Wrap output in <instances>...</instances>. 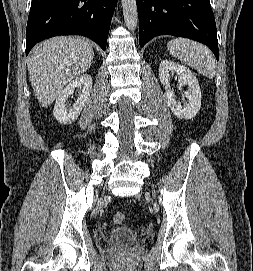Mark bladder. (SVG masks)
<instances>
[{
  "label": "bladder",
  "mask_w": 253,
  "mask_h": 271,
  "mask_svg": "<svg viewBox=\"0 0 253 271\" xmlns=\"http://www.w3.org/2000/svg\"><path fill=\"white\" fill-rule=\"evenodd\" d=\"M137 233L130 226H116L108 234L107 241L116 244H131L136 242Z\"/></svg>",
  "instance_id": "31cf9c89"
}]
</instances>
